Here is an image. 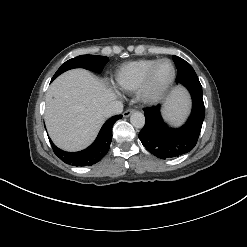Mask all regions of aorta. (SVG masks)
<instances>
[{"mask_svg":"<svg viewBox=\"0 0 247 247\" xmlns=\"http://www.w3.org/2000/svg\"><path fill=\"white\" fill-rule=\"evenodd\" d=\"M130 122L135 128H142L145 124V117L141 112H134L130 116Z\"/></svg>","mask_w":247,"mask_h":247,"instance_id":"obj_1","label":"aorta"}]
</instances>
